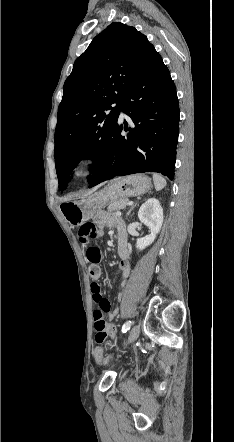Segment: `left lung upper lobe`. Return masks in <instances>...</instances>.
Listing matches in <instances>:
<instances>
[{"label": "left lung upper lobe", "instance_id": "left-lung-upper-lobe-1", "mask_svg": "<svg viewBox=\"0 0 234 442\" xmlns=\"http://www.w3.org/2000/svg\"><path fill=\"white\" fill-rule=\"evenodd\" d=\"M155 51L136 28L114 22L76 59L64 83L55 131L54 156L60 190L66 189L80 160L92 159L93 173L102 165L124 94ZM114 103L117 106L112 108Z\"/></svg>", "mask_w": 234, "mask_h": 442}]
</instances>
